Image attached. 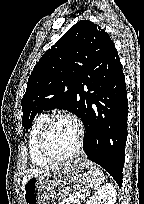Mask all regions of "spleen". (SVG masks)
Instances as JSON below:
<instances>
[{"label":"spleen","mask_w":144,"mask_h":204,"mask_svg":"<svg viewBox=\"0 0 144 204\" xmlns=\"http://www.w3.org/2000/svg\"><path fill=\"white\" fill-rule=\"evenodd\" d=\"M104 180H105V176H104L103 172L98 167H96L95 177H94V180L92 182L93 188L99 189L100 185L104 182Z\"/></svg>","instance_id":"3e777b00"}]
</instances>
